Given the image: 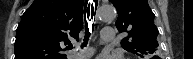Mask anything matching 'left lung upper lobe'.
I'll return each instance as SVG.
<instances>
[{
  "instance_id": "5c2ea615",
  "label": "left lung upper lobe",
  "mask_w": 193,
  "mask_h": 59,
  "mask_svg": "<svg viewBox=\"0 0 193 59\" xmlns=\"http://www.w3.org/2000/svg\"><path fill=\"white\" fill-rule=\"evenodd\" d=\"M117 9L116 27L128 33L121 41L122 47L136 55L154 54L158 50V29L148 0H109ZM157 57V56H154Z\"/></svg>"
}]
</instances>
